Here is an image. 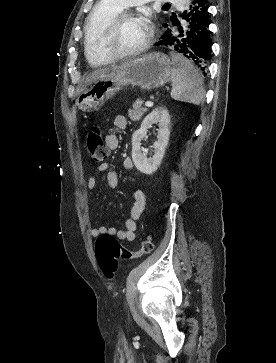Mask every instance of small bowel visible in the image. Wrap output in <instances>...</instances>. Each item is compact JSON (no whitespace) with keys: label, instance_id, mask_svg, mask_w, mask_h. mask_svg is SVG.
Segmentation results:
<instances>
[{"label":"small bowel","instance_id":"1","mask_svg":"<svg viewBox=\"0 0 276 363\" xmlns=\"http://www.w3.org/2000/svg\"><path fill=\"white\" fill-rule=\"evenodd\" d=\"M114 125L119 129H124L127 126V119L123 115H117L114 118ZM106 146L110 150H115L119 147V138L116 134H108L105 138ZM123 167L125 169H132L134 167L133 161L130 157H126L123 161ZM99 171H106V184L109 188H117L119 185V175L114 170H108L107 164H101L98 167ZM96 187V178L90 176L87 181V189L93 191ZM146 206V196L145 193L137 189L134 192V202L129 212V217L125 220L123 229H116L112 227L105 226H93L90 229V234L92 236H98L100 234H110L114 235L123 241H134L136 238V232L138 228V220L140 219L142 213L144 212Z\"/></svg>","mask_w":276,"mask_h":363}]
</instances>
